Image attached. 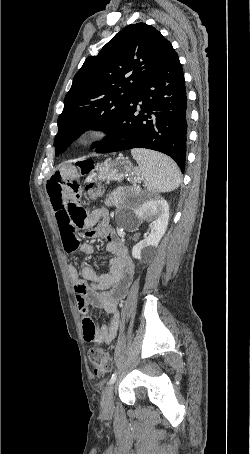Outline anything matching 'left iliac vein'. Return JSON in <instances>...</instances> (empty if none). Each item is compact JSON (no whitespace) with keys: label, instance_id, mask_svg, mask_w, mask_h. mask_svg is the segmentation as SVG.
Listing matches in <instances>:
<instances>
[{"label":"left iliac vein","instance_id":"obj_1","mask_svg":"<svg viewBox=\"0 0 250 454\" xmlns=\"http://www.w3.org/2000/svg\"><path fill=\"white\" fill-rule=\"evenodd\" d=\"M113 385H109L103 392L101 400V409L104 414H111L114 409L113 403Z\"/></svg>","mask_w":250,"mask_h":454}]
</instances>
